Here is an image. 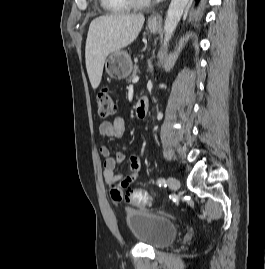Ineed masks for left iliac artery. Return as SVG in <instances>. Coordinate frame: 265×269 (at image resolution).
I'll use <instances>...</instances> for the list:
<instances>
[{
	"label": "left iliac artery",
	"mask_w": 265,
	"mask_h": 269,
	"mask_svg": "<svg viewBox=\"0 0 265 269\" xmlns=\"http://www.w3.org/2000/svg\"><path fill=\"white\" fill-rule=\"evenodd\" d=\"M157 184L159 186H166V180L164 178H160L158 179Z\"/></svg>",
	"instance_id": "44dca946"
}]
</instances>
